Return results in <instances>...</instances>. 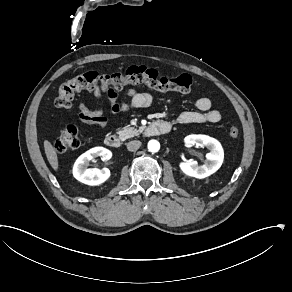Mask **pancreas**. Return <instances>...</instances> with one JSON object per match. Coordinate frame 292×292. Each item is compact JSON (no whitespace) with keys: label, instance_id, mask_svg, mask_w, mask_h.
<instances>
[{"label":"pancreas","instance_id":"pancreas-1","mask_svg":"<svg viewBox=\"0 0 292 292\" xmlns=\"http://www.w3.org/2000/svg\"><path fill=\"white\" fill-rule=\"evenodd\" d=\"M143 128L138 131L134 127H127V128H118L116 129V133L118 134L121 140H125L127 138L133 137L141 133Z\"/></svg>","mask_w":292,"mask_h":292}]
</instances>
